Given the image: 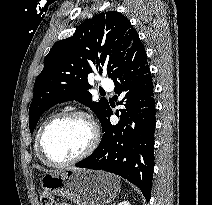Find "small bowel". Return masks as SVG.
Listing matches in <instances>:
<instances>
[{
	"instance_id": "small-bowel-1",
	"label": "small bowel",
	"mask_w": 212,
	"mask_h": 205,
	"mask_svg": "<svg viewBox=\"0 0 212 205\" xmlns=\"http://www.w3.org/2000/svg\"><path fill=\"white\" fill-rule=\"evenodd\" d=\"M57 205H70V204H67V203H59Z\"/></svg>"
}]
</instances>
